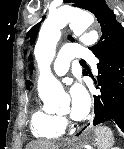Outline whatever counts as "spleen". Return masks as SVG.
Wrapping results in <instances>:
<instances>
[{"instance_id": "spleen-1", "label": "spleen", "mask_w": 124, "mask_h": 149, "mask_svg": "<svg viewBox=\"0 0 124 149\" xmlns=\"http://www.w3.org/2000/svg\"><path fill=\"white\" fill-rule=\"evenodd\" d=\"M95 133L97 136L98 149H109L113 145L114 139L112 137V131L108 127H96Z\"/></svg>"}]
</instances>
